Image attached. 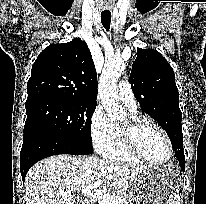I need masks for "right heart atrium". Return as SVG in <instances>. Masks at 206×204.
Wrapping results in <instances>:
<instances>
[{
  "instance_id": "1",
  "label": "right heart atrium",
  "mask_w": 206,
  "mask_h": 204,
  "mask_svg": "<svg viewBox=\"0 0 206 204\" xmlns=\"http://www.w3.org/2000/svg\"><path fill=\"white\" fill-rule=\"evenodd\" d=\"M90 136L94 149L101 153L112 138L113 124L101 106H97L90 118Z\"/></svg>"
}]
</instances>
